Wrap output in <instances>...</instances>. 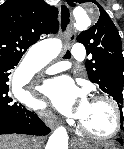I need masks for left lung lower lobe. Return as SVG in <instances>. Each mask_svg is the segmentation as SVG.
Wrapping results in <instances>:
<instances>
[{
    "mask_svg": "<svg viewBox=\"0 0 124 149\" xmlns=\"http://www.w3.org/2000/svg\"><path fill=\"white\" fill-rule=\"evenodd\" d=\"M118 142H120L122 144V140L120 138L117 139Z\"/></svg>",
    "mask_w": 124,
    "mask_h": 149,
    "instance_id": "left-lung-lower-lobe-1",
    "label": "left lung lower lobe"
}]
</instances>
